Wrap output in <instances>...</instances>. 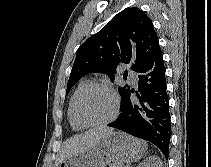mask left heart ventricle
<instances>
[{
    "mask_svg": "<svg viewBox=\"0 0 211 167\" xmlns=\"http://www.w3.org/2000/svg\"><path fill=\"white\" fill-rule=\"evenodd\" d=\"M113 107V99L109 92L94 87L85 91L79 98L77 114L86 122H100L111 116Z\"/></svg>",
    "mask_w": 211,
    "mask_h": 167,
    "instance_id": "b2bd125f",
    "label": "left heart ventricle"
}]
</instances>
